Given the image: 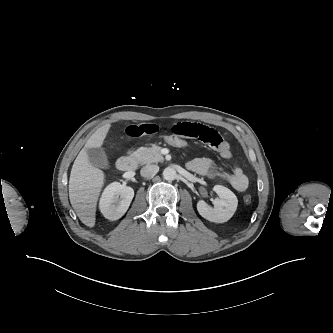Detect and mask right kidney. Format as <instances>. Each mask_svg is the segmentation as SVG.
Listing matches in <instances>:
<instances>
[{
  "label": "right kidney",
  "instance_id": "right-kidney-1",
  "mask_svg": "<svg viewBox=\"0 0 333 333\" xmlns=\"http://www.w3.org/2000/svg\"><path fill=\"white\" fill-rule=\"evenodd\" d=\"M134 197L131 187L113 182L107 186L100 199L99 208L105 218L117 220L128 210Z\"/></svg>",
  "mask_w": 333,
  "mask_h": 333
}]
</instances>
